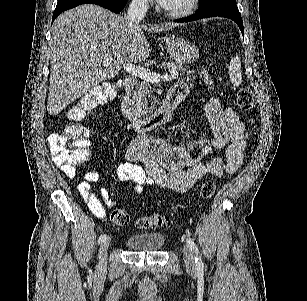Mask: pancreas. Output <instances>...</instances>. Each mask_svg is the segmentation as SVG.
Returning <instances> with one entry per match:
<instances>
[{
  "label": "pancreas",
  "mask_w": 307,
  "mask_h": 301,
  "mask_svg": "<svg viewBox=\"0 0 307 301\" xmlns=\"http://www.w3.org/2000/svg\"><path fill=\"white\" fill-rule=\"evenodd\" d=\"M159 66H164V68H169V74L173 76V78H189V80H193L196 78L194 76V72L188 70V68H184L182 64H175V62H162ZM175 72H178V76H174ZM184 72V74H183ZM189 74V76H186ZM152 84L149 80H142V82H136L135 88L132 92V106H134L136 112H140L142 116H149L152 114L156 108V96L152 94Z\"/></svg>",
  "instance_id": "cf45deb5"
}]
</instances>
